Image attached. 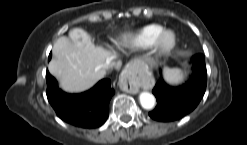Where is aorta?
Masks as SVG:
<instances>
[{"instance_id": "aorta-1", "label": "aorta", "mask_w": 247, "mask_h": 145, "mask_svg": "<svg viewBox=\"0 0 247 145\" xmlns=\"http://www.w3.org/2000/svg\"><path fill=\"white\" fill-rule=\"evenodd\" d=\"M139 101L144 109H152L155 106V97L149 92H142Z\"/></svg>"}]
</instances>
